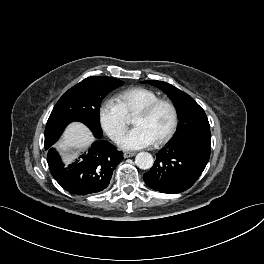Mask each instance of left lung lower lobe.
<instances>
[{
    "label": "left lung lower lobe",
    "mask_w": 264,
    "mask_h": 264,
    "mask_svg": "<svg viewBox=\"0 0 264 264\" xmlns=\"http://www.w3.org/2000/svg\"><path fill=\"white\" fill-rule=\"evenodd\" d=\"M210 151V131H200L181 140H172L156 155L153 167L143 175L144 181L150 188L162 193L183 192L202 174Z\"/></svg>",
    "instance_id": "obj_1"
}]
</instances>
